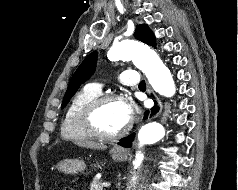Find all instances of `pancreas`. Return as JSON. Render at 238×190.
<instances>
[{"label": "pancreas", "instance_id": "pancreas-1", "mask_svg": "<svg viewBox=\"0 0 238 190\" xmlns=\"http://www.w3.org/2000/svg\"><path fill=\"white\" fill-rule=\"evenodd\" d=\"M90 190H103L101 181L95 177L90 185Z\"/></svg>", "mask_w": 238, "mask_h": 190}]
</instances>
